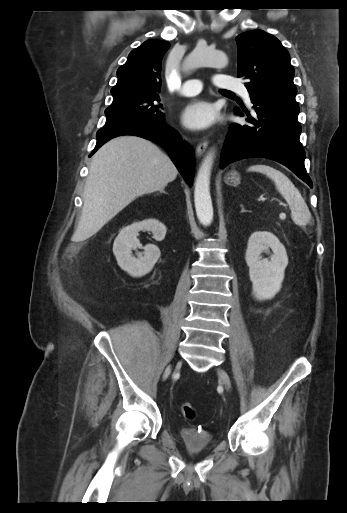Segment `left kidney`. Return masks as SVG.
Masks as SVG:
<instances>
[{
    "instance_id": "obj_1",
    "label": "left kidney",
    "mask_w": 347,
    "mask_h": 513,
    "mask_svg": "<svg viewBox=\"0 0 347 513\" xmlns=\"http://www.w3.org/2000/svg\"><path fill=\"white\" fill-rule=\"evenodd\" d=\"M269 248L273 251L270 260L262 258V252H267ZM245 261L255 297L259 300L272 299L281 288L288 265L284 245L270 232H254L248 240Z\"/></svg>"
}]
</instances>
